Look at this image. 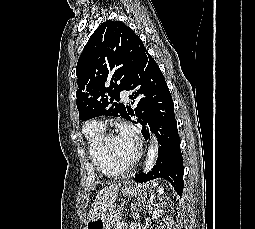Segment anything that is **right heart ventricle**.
I'll use <instances>...</instances> for the list:
<instances>
[{
  "label": "right heart ventricle",
  "mask_w": 255,
  "mask_h": 229,
  "mask_svg": "<svg viewBox=\"0 0 255 229\" xmlns=\"http://www.w3.org/2000/svg\"><path fill=\"white\" fill-rule=\"evenodd\" d=\"M84 133L88 156L96 170L106 177H116L120 175L123 171L111 166L98 150V143L103 135V128L94 126L91 121L85 124Z\"/></svg>",
  "instance_id": "obj_1"
}]
</instances>
